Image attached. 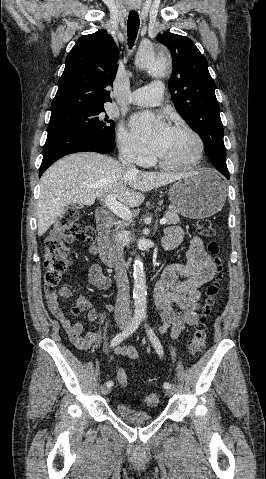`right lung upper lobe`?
Wrapping results in <instances>:
<instances>
[{"mask_svg": "<svg viewBox=\"0 0 266 479\" xmlns=\"http://www.w3.org/2000/svg\"><path fill=\"white\" fill-rule=\"evenodd\" d=\"M118 48L105 30L80 37L66 57L51 112L101 108L111 102L107 86L117 73Z\"/></svg>", "mask_w": 266, "mask_h": 479, "instance_id": "cb5924a9", "label": "right lung upper lobe"}]
</instances>
